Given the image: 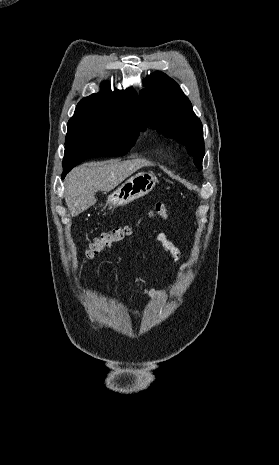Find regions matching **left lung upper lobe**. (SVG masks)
I'll return each instance as SVG.
<instances>
[{
    "mask_svg": "<svg viewBox=\"0 0 279 465\" xmlns=\"http://www.w3.org/2000/svg\"><path fill=\"white\" fill-rule=\"evenodd\" d=\"M144 85L140 98L151 127L184 144L201 170L205 153L203 127L189 99L174 80L159 71L149 75Z\"/></svg>",
    "mask_w": 279,
    "mask_h": 465,
    "instance_id": "obj_1",
    "label": "left lung upper lobe"
}]
</instances>
